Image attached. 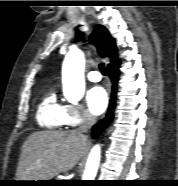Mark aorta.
<instances>
[{
    "mask_svg": "<svg viewBox=\"0 0 178 186\" xmlns=\"http://www.w3.org/2000/svg\"><path fill=\"white\" fill-rule=\"evenodd\" d=\"M85 57L78 49L70 50L62 67L63 94L71 103H77L84 95ZM101 156L100 145H95L89 154L82 180H95Z\"/></svg>",
    "mask_w": 178,
    "mask_h": 186,
    "instance_id": "aorta-1",
    "label": "aorta"
}]
</instances>
